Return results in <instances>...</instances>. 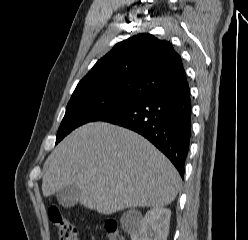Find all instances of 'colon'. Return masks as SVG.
Listing matches in <instances>:
<instances>
[{"instance_id": "1", "label": "colon", "mask_w": 248, "mask_h": 240, "mask_svg": "<svg viewBox=\"0 0 248 240\" xmlns=\"http://www.w3.org/2000/svg\"><path fill=\"white\" fill-rule=\"evenodd\" d=\"M48 215L50 221L58 230L60 240H79L75 225L62 214L59 208L55 206L50 207ZM106 231L108 240H123L115 221H108L106 223Z\"/></svg>"}]
</instances>
